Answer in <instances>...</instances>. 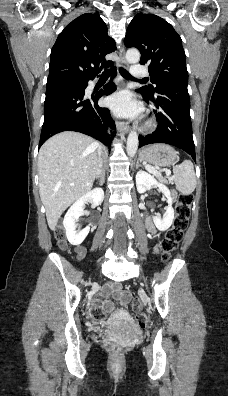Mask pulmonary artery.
I'll return each instance as SVG.
<instances>
[{"label": "pulmonary artery", "mask_w": 228, "mask_h": 396, "mask_svg": "<svg viewBox=\"0 0 228 396\" xmlns=\"http://www.w3.org/2000/svg\"><path fill=\"white\" fill-rule=\"evenodd\" d=\"M132 75L135 78H143L148 76V71L141 66H135L132 68Z\"/></svg>", "instance_id": "obj_1"}]
</instances>
